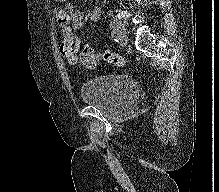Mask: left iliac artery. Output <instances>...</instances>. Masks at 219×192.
<instances>
[{"mask_svg": "<svg viewBox=\"0 0 219 192\" xmlns=\"http://www.w3.org/2000/svg\"><path fill=\"white\" fill-rule=\"evenodd\" d=\"M111 36L114 38L115 41H117V42L119 41L115 31L111 32Z\"/></svg>", "mask_w": 219, "mask_h": 192, "instance_id": "44dca946", "label": "left iliac artery"}]
</instances>
